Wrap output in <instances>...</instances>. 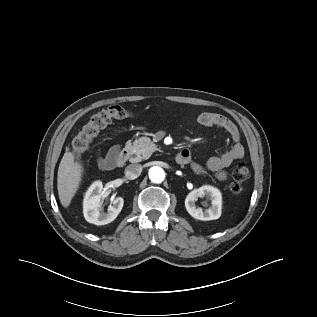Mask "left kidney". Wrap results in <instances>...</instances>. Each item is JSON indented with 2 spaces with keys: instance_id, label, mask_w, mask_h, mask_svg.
I'll return each instance as SVG.
<instances>
[{
  "instance_id": "left-kidney-1",
  "label": "left kidney",
  "mask_w": 317,
  "mask_h": 317,
  "mask_svg": "<svg viewBox=\"0 0 317 317\" xmlns=\"http://www.w3.org/2000/svg\"><path fill=\"white\" fill-rule=\"evenodd\" d=\"M206 196L211 201L208 209L197 208L195 201L198 197ZM185 207L187 212L195 219L209 221L218 219L221 215L222 196L220 191L210 185H204L198 189L191 191L185 199Z\"/></svg>"
}]
</instances>
